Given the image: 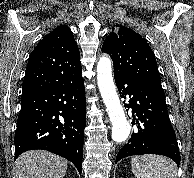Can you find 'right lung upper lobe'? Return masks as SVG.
<instances>
[{"instance_id":"cb5924a9","label":"right lung upper lobe","mask_w":194,"mask_h":178,"mask_svg":"<svg viewBox=\"0 0 194 178\" xmlns=\"http://www.w3.org/2000/svg\"><path fill=\"white\" fill-rule=\"evenodd\" d=\"M80 53L69 27L60 25L46 35L30 54L22 96L80 79Z\"/></svg>"}]
</instances>
